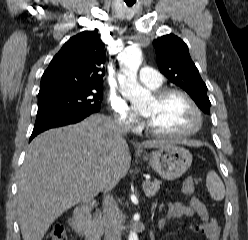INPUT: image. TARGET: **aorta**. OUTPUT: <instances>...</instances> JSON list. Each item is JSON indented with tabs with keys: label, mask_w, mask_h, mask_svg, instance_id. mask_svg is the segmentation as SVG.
<instances>
[{
	"label": "aorta",
	"mask_w": 248,
	"mask_h": 240,
	"mask_svg": "<svg viewBox=\"0 0 248 240\" xmlns=\"http://www.w3.org/2000/svg\"><path fill=\"white\" fill-rule=\"evenodd\" d=\"M142 62V51L137 45L127 47L121 54V75L119 85L122 95L133 107L144 105L151 97L150 91L137 81V71ZM128 240H138L136 232L131 231Z\"/></svg>",
	"instance_id": "1"
}]
</instances>
